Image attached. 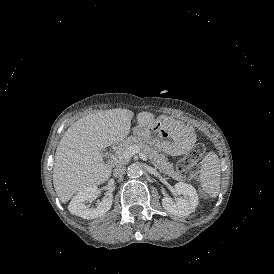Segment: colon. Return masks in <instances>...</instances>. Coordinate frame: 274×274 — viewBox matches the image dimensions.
Wrapping results in <instances>:
<instances>
[{
    "instance_id": "colon-1",
    "label": "colon",
    "mask_w": 274,
    "mask_h": 274,
    "mask_svg": "<svg viewBox=\"0 0 274 274\" xmlns=\"http://www.w3.org/2000/svg\"><path fill=\"white\" fill-rule=\"evenodd\" d=\"M205 147L202 144L194 146L186 157L177 164L178 172L186 177H194L198 173L197 162L203 157Z\"/></svg>"
}]
</instances>
